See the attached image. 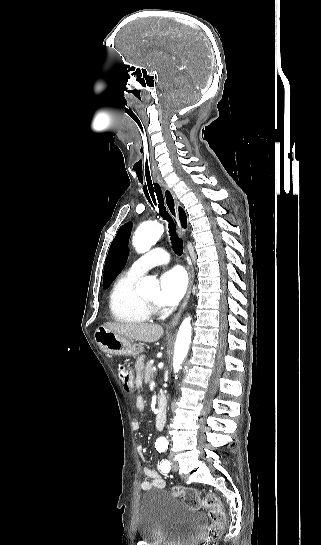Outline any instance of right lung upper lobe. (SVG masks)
I'll return each instance as SVG.
<instances>
[{
    "instance_id": "right-lung-upper-lobe-1",
    "label": "right lung upper lobe",
    "mask_w": 321,
    "mask_h": 545,
    "mask_svg": "<svg viewBox=\"0 0 321 545\" xmlns=\"http://www.w3.org/2000/svg\"><path fill=\"white\" fill-rule=\"evenodd\" d=\"M179 217H180V221H181L182 226L184 228H186V226H187L186 215H185L184 211L181 208L179 209Z\"/></svg>"
}]
</instances>
